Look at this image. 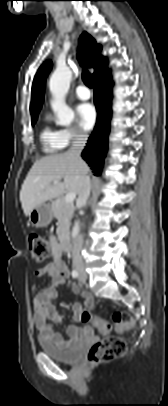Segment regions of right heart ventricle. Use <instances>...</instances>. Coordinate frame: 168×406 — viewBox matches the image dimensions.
Instances as JSON below:
<instances>
[{
  "label": "right heart ventricle",
  "instance_id": "e07e8e85",
  "mask_svg": "<svg viewBox=\"0 0 168 406\" xmlns=\"http://www.w3.org/2000/svg\"><path fill=\"white\" fill-rule=\"evenodd\" d=\"M40 140L43 150L47 153H57L66 147L61 131L53 128L49 124V118H45V123L40 133Z\"/></svg>",
  "mask_w": 168,
  "mask_h": 406
}]
</instances>
